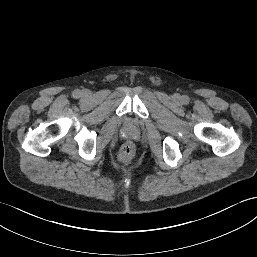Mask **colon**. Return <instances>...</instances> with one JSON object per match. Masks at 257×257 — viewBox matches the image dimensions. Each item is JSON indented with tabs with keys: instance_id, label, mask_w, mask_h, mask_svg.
<instances>
[{
	"instance_id": "5ec220e1",
	"label": "colon",
	"mask_w": 257,
	"mask_h": 257,
	"mask_svg": "<svg viewBox=\"0 0 257 257\" xmlns=\"http://www.w3.org/2000/svg\"><path fill=\"white\" fill-rule=\"evenodd\" d=\"M134 155V148L131 144H126L119 155V158L122 162H129Z\"/></svg>"
}]
</instances>
